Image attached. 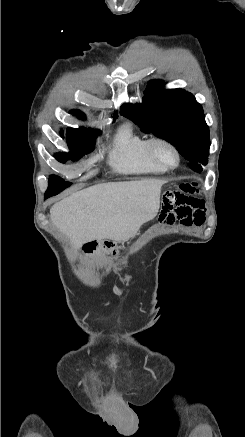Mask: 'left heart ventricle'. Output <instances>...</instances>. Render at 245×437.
<instances>
[{
	"label": "left heart ventricle",
	"instance_id": "b2bd125f",
	"mask_svg": "<svg viewBox=\"0 0 245 437\" xmlns=\"http://www.w3.org/2000/svg\"><path fill=\"white\" fill-rule=\"evenodd\" d=\"M157 152L166 162L173 163L175 161L174 154L168 148L158 147Z\"/></svg>",
	"mask_w": 245,
	"mask_h": 437
}]
</instances>
